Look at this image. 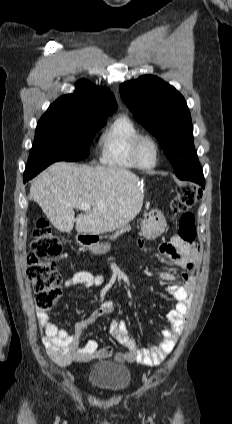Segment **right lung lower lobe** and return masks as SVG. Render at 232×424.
Segmentation results:
<instances>
[{
    "instance_id": "obj_1",
    "label": "right lung lower lobe",
    "mask_w": 232,
    "mask_h": 424,
    "mask_svg": "<svg viewBox=\"0 0 232 424\" xmlns=\"http://www.w3.org/2000/svg\"><path fill=\"white\" fill-rule=\"evenodd\" d=\"M45 168H43V169H45ZM43 169L37 170V171H35V172L31 173V174H24V182H26V181L30 180L31 178H33L34 176H36Z\"/></svg>"
}]
</instances>
